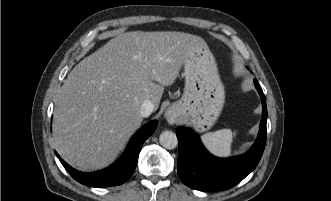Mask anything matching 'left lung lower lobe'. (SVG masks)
Here are the masks:
<instances>
[{"label": "left lung lower lobe", "instance_id": "obj_1", "mask_svg": "<svg viewBox=\"0 0 331 201\" xmlns=\"http://www.w3.org/2000/svg\"><path fill=\"white\" fill-rule=\"evenodd\" d=\"M254 84L261 96L263 112L258 138L247 153L227 159L214 157L204 148L192 129H177L178 175L186 186L200 191L225 190L238 184L255 169L266 142L267 108L258 81L254 80Z\"/></svg>", "mask_w": 331, "mask_h": 201}]
</instances>
